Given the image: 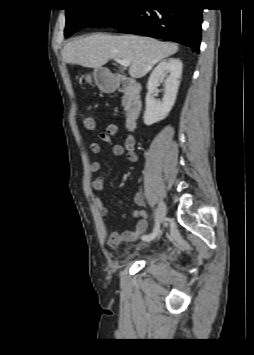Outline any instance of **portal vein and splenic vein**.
<instances>
[{
    "label": "portal vein and splenic vein",
    "mask_w": 254,
    "mask_h": 355,
    "mask_svg": "<svg viewBox=\"0 0 254 355\" xmlns=\"http://www.w3.org/2000/svg\"><path fill=\"white\" fill-rule=\"evenodd\" d=\"M114 60L123 67H129L131 63L129 59L114 58Z\"/></svg>",
    "instance_id": "portal-vein-and-splenic-vein-1"
}]
</instances>
